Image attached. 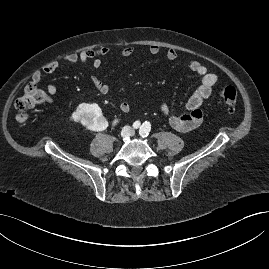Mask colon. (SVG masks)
<instances>
[{
  "label": "colon",
  "mask_w": 269,
  "mask_h": 269,
  "mask_svg": "<svg viewBox=\"0 0 269 269\" xmlns=\"http://www.w3.org/2000/svg\"><path fill=\"white\" fill-rule=\"evenodd\" d=\"M218 96L228 107L230 112L236 111L238 92L233 86H223L218 89ZM46 99V94L40 90L36 84L28 83L21 96L15 102L17 111L16 119L24 123L28 119V110L41 104Z\"/></svg>",
  "instance_id": "1"
}]
</instances>
